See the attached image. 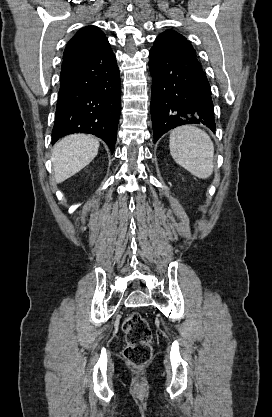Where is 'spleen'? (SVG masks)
<instances>
[{"label":"spleen","instance_id":"obj_1","mask_svg":"<svg viewBox=\"0 0 272 417\" xmlns=\"http://www.w3.org/2000/svg\"><path fill=\"white\" fill-rule=\"evenodd\" d=\"M169 148L175 162L194 176L212 175L214 145L205 131L191 125L177 127L170 133Z\"/></svg>","mask_w":272,"mask_h":417}]
</instances>
